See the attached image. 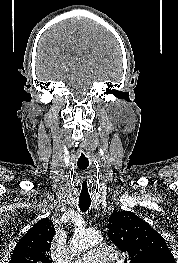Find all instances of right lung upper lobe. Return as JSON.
<instances>
[{"mask_svg":"<svg viewBox=\"0 0 178 263\" xmlns=\"http://www.w3.org/2000/svg\"><path fill=\"white\" fill-rule=\"evenodd\" d=\"M55 235L53 222L48 218L39 220L19 240L9 263H51V241Z\"/></svg>","mask_w":178,"mask_h":263,"instance_id":"cb5924a9","label":"right lung upper lobe"}]
</instances>
